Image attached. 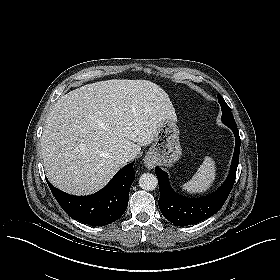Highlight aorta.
Returning <instances> with one entry per match:
<instances>
[{
    "label": "aorta",
    "instance_id": "obj_1",
    "mask_svg": "<svg viewBox=\"0 0 280 280\" xmlns=\"http://www.w3.org/2000/svg\"><path fill=\"white\" fill-rule=\"evenodd\" d=\"M139 185L143 190L152 191L157 187L158 179L152 173H144L139 178Z\"/></svg>",
    "mask_w": 280,
    "mask_h": 280
}]
</instances>
